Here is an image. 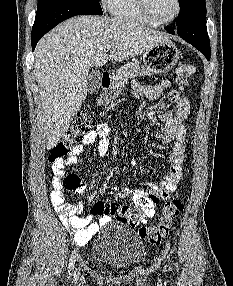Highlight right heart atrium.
Returning a JSON list of instances; mask_svg holds the SVG:
<instances>
[{"label":"right heart atrium","instance_id":"right-heart-atrium-1","mask_svg":"<svg viewBox=\"0 0 233 286\" xmlns=\"http://www.w3.org/2000/svg\"><path fill=\"white\" fill-rule=\"evenodd\" d=\"M101 1H102L103 5L106 6L108 0H101Z\"/></svg>","mask_w":233,"mask_h":286}]
</instances>
